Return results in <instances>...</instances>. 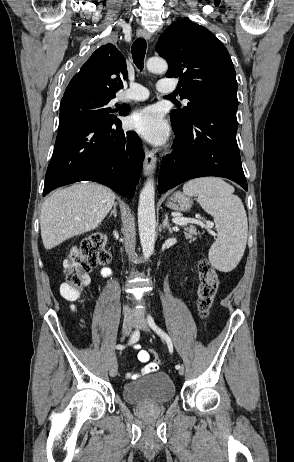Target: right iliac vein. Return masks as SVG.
Returning a JSON list of instances; mask_svg holds the SVG:
<instances>
[{
    "label": "right iliac vein",
    "instance_id": "1",
    "mask_svg": "<svg viewBox=\"0 0 294 462\" xmlns=\"http://www.w3.org/2000/svg\"><path fill=\"white\" fill-rule=\"evenodd\" d=\"M132 325H133L132 317L129 315L126 316L122 324V334L124 336L128 335L131 332ZM117 370H118L117 360H116V357L113 356L111 358V363H110V375L112 377H115L117 374Z\"/></svg>",
    "mask_w": 294,
    "mask_h": 462
}]
</instances>
